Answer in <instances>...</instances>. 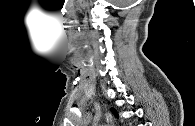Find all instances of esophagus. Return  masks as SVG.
Masks as SVG:
<instances>
[{
	"instance_id": "obj_1",
	"label": "esophagus",
	"mask_w": 195,
	"mask_h": 126,
	"mask_svg": "<svg viewBox=\"0 0 195 126\" xmlns=\"http://www.w3.org/2000/svg\"><path fill=\"white\" fill-rule=\"evenodd\" d=\"M105 119H106V122L109 126H112L113 125V119H112V116L109 114V113H106L105 114Z\"/></svg>"
}]
</instances>
